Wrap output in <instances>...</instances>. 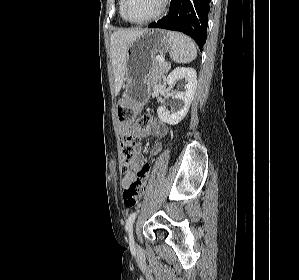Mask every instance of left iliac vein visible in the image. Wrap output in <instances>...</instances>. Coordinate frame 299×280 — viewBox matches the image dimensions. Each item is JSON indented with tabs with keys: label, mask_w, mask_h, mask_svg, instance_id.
I'll return each mask as SVG.
<instances>
[{
	"label": "left iliac vein",
	"mask_w": 299,
	"mask_h": 280,
	"mask_svg": "<svg viewBox=\"0 0 299 280\" xmlns=\"http://www.w3.org/2000/svg\"><path fill=\"white\" fill-rule=\"evenodd\" d=\"M129 239H130V243H134V238H133L132 232H130Z\"/></svg>",
	"instance_id": "obj_1"
}]
</instances>
